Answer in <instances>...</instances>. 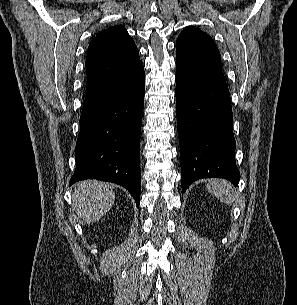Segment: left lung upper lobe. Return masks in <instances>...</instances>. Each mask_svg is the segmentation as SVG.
I'll return each instance as SVG.
<instances>
[{"label":"left lung upper lobe","mask_w":297,"mask_h":305,"mask_svg":"<svg viewBox=\"0 0 297 305\" xmlns=\"http://www.w3.org/2000/svg\"><path fill=\"white\" fill-rule=\"evenodd\" d=\"M176 63L190 73L222 71L213 39L196 27L185 28L176 41Z\"/></svg>","instance_id":"1"}]
</instances>
